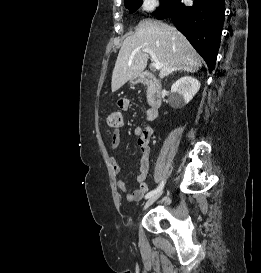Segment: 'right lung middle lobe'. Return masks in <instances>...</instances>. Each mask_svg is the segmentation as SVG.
I'll list each match as a JSON object with an SVG mask.
<instances>
[{"label": "right lung middle lobe", "mask_w": 261, "mask_h": 273, "mask_svg": "<svg viewBox=\"0 0 261 273\" xmlns=\"http://www.w3.org/2000/svg\"><path fill=\"white\" fill-rule=\"evenodd\" d=\"M160 1H161L160 10H162L166 8L173 0H160ZM124 3H125V7L129 9L130 13H133L140 7L142 0H124Z\"/></svg>", "instance_id": "obj_1"}]
</instances>
